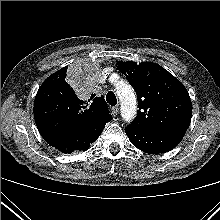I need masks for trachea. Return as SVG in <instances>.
Instances as JSON below:
<instances>
[{
  "mask_svg": "<svg viewBox=\"0 0 220 220\" xmlns=\"http://www.w3.org/2000/svg\"><path fill=\"white\" fill-rule=\"evenodd\" d=\"M106 101L109 105L115 106L117 104V98L114 94V92L109 91L106 95Z\"/></svg>",
  "mask_w": 220,
  "mask_h": 220,
  "instance_id": "trachea-1",
  "label": "trachea"
}]
</instances>
